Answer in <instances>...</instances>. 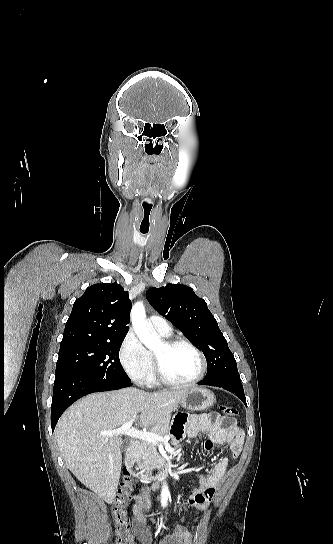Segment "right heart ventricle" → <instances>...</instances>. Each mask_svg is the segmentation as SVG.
<instances>
[{
	"label": "right heart ventricle",
	"mask_w": 333,
	"mask_h": 544,
	"mask_svg": "<svg viewBox=\"0 0 333 544\" xmlns=\"http://www.w3.org/2000/svg\"><path fill=\"white\" fill-rule=\"evenodd\" d=\"M148 383L149 384H155L156 383V379H155L153 373H151V375L149 377V380H148Z\"/></svg>",
	"instance_id": "obj_1"
}]
</instances>
